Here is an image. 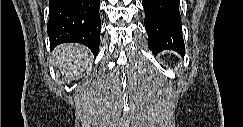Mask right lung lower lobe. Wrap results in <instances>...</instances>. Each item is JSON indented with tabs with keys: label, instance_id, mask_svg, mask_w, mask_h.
Segmentation results:
<instances>
[{
	"label": "right lung lower lobe",
	"instance_id": "obj_1",
	"mask_svg": "<svg viewBox=\"0 0 243 127\" xmlns=\"http://www.w3.org/2000/svg\"><path fill=\"white\" fill-rule=\"evenodd\" d=\"M99 8L100 0H50L47 33L51 48L76 42L96 56L101 30Z\"/></svg>",
	"mask_w": 243,
	"mask_h": 127
}]
</instances>
